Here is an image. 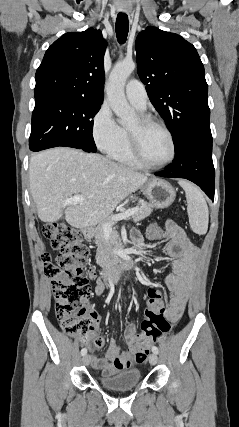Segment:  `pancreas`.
<instances>
[{
    "label": "pancreas",
    "instance_id": "1",
    "mask_svg": "<svg viewBox=\"0 0 239 427\" xmlns=\"http://www.w3.org/2000/svg\"><path fill=\"white\" fill-rule=\"evenodd\" d=\"M139 204L140 207L138 211L132 215L134 222L141 221L144 218L148 217L154 208L151 203L145 202L143 200H140ZM105 223H110L111 226H113L115 224V221L111 220V218H108L104 222L100 223L94 231L96 244L98 246L96 260L97 263L102 266L111 265L114 263V253L112 251L111 244L116 239L115 232H112L110 240L106 238L103 230V225Z\"/></svg>",
    "mask_w": 239,
    "mask_h": 427
}]
</instances>
